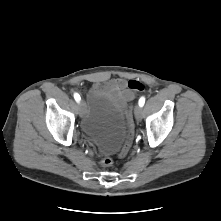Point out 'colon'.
Wrapping results in <instances>:
<instances>
[{"instance_id":"1","label":"colon","mask_w":221,"mask_h":221,"mask_svg":"<svg viewBox=\"0 0 221 221\" xmlns=\"http://www.w3.org/2000/svg\"><path fill=\"white\" fill-rule=\"evenodd\" d=\"M127 86L128 89L133 92H142L145 89V84L142 81L136 79L130 80ZM131 142H132V132L130 131L127 136L126 142L119 154V158H124L128 154L131 147ZM114 163L115 162L111 157H105L101 161V165L105 167L112 166Z\"/></svg>"}]
</instances>
